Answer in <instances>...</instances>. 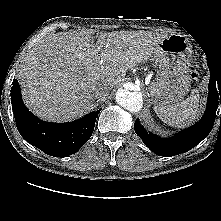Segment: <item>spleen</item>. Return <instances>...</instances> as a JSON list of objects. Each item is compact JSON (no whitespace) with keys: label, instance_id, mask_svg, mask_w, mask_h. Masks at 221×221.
Instances as JSON below:
<instances>
[{"label":"spleen","instance_id":"1","mask_svg":"<svg viewBox=\"0 0 221 221\" xmlns=\"http://www.w3.org/2000/svg\"><path fill=\"white\" fill-rule=\"evenodd\" d=\"M198 107L199 94L193 92L190 97L181 102L163 107H154V110L158 117L167 125L175 128H184L198 117Z\"/></svg>","mask_w":221,"mask_h":221}]
</instances>
